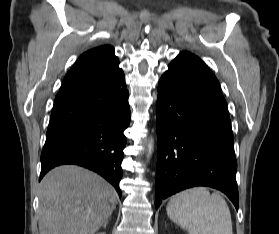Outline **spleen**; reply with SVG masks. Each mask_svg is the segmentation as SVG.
I'll return each mask as SVG.
<instances>
[{
    "instance_id": "spleen-1",
    "label": "spleen",
    "mask_w": 279,
    "mask_h": 234,
    "mask_svg": "<svg viewBox=\"0 0 279 234\" xmlns=\"http://www.w3.org/2000/svg\"><path fill=\"white\" fill-rule=\"evenodd\" d=\"M168 217L189 234H233L229 207L224 198L205 187H196L172 196Z\"/></svg>"
}]
</instances>
